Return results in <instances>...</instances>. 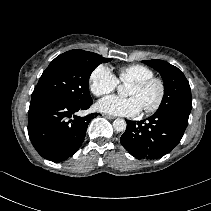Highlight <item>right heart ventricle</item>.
<instances>
[{"instance_id": "obj_1", "label": "right heart ventricle", "mask_w": 211, "mask_h": 211, "mask_svg": "<svg viewBox=\"0 0 211 211\" xmlns=\"http://www.w3.org/2000/svg\"><path fill=\"white\" fill-rule=\"evenodd\" d=\"M154 75L148 66L142 64H130L118 70V81L124 84L132 83L136 80L144 79Z\"/></svg>"}]
</instances>
